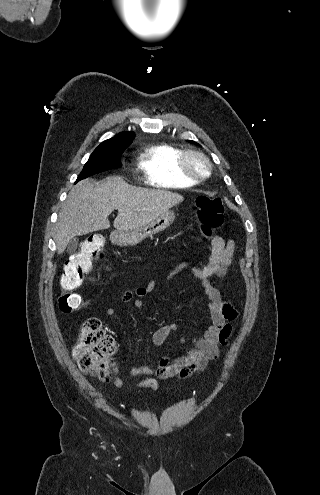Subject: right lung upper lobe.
I'll list each match as a JSON object with an SVG mask.
<instances>
[{"mask_svg": "<svg viewBox=\"0 0 320 495\" xmlns=\"http://www.w3.org/2000/svg\"><path fill=\"white\" fill-rule=\"evenodd\" d=\"M135 134L132 132H122L116 136L103 141L98 147L101 148H127L133 141Z\"/></svg>", "mask_w": 320, "mask_h": 495, "instance_id": "right-lung-upper-lobe-1", "label": "right lung upper lobe"}]
</instances>
